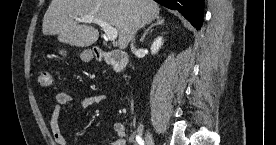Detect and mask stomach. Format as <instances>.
Instances as JSON below:
<instances>
[{"label":"stomach","mask_w":276,"mask_h":145,"mask_svg":"<svg viewBox=\"0 0 276 145\" xmlns=\"http://www.w3.org/2000/svg\"><path fill=\"white\" fill-rule=\"evenodd\" d=\"M60 54L62 55H66V51L61 50ZM80 57L82 58V60L84 61H89L92 59L93 57V52L91 50H85L84 52L81 53Z\"/></svg>","instance_id":"1"}]
</instances>
